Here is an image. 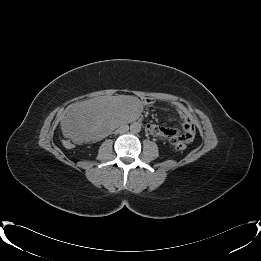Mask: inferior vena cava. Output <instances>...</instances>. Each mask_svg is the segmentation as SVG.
<instances>
[{
  "label": "inferior vena cava",
  "mask_w": 261,
  "mask_h": 261,
  "mask_svg": "<svg viewBox=\"0 0 261 261\" xmlns=\"http://www.w3.org/2000/svg\"><path fill=\"white\" fill-rule=\"evenodd\" d=\"M121 132L127 131L129 129V126L127 124L121 125Z\"/></svg>",
  "instance_id": "1"
}]
</instances>
